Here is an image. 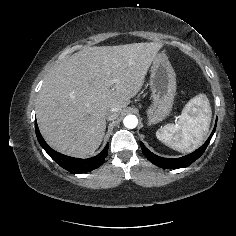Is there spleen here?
Segmentation results:
<instances>
[{
	"label": "spleen",
	"instance_id": "3e777b00",
	"mask_svg": "<svg viewBox=\"0 0 236 236\" xmlns=\"http://www.w3.org/2000/svg\"><path fill=\"white\" fill-rule=\"evenodd\" d=\"M211 121L208 98L199 94L185 105L176 124H167L156 132V137L166 146L189 153L197 149L207 134Z\"/></svg>",
	"mask_w": 236,
	"mask_h": 236
}]
</instances>
